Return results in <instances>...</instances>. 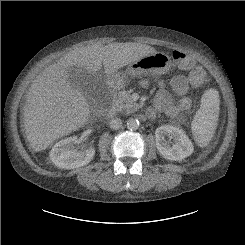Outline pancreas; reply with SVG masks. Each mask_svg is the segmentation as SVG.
<instances>
[{
	"instance_id": "obj_1",
	"label": "pancreas",
	"mask_w": 245,
	"mask_h": 245,
	"mask_svg": "<svg viewBox=\"0 0 245 245\" xmlns=\"http://www.w3.org/2000/svg\"><path fill=\"white\" fill-rule=\"evenodd\" d=\"M117 111L132 113L138 109V104L133 102L130 97L129 91L123 90L119 92L118 97L115 100Z\"/></svg>"
}]
</instances>
